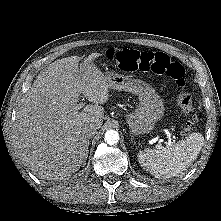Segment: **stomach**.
I'll return each instance as SVG.
<instances>
[{
	"label": "stomach",
	"instance_id": "obj_1",
	"mask_svg": "<svg viewBox=\"0 0 221 221\" xmlns=\"http://www.w3.org/2000/svg\"><path fill=\"white\" fill-rule=\"evenodd\" d=\"M107 85L110 89L126 91L137 95L139 105L126 117V121L135 135L149 133L164 114V105L160 96L146 82L114 72H106Z\"/></svg>",
	"mask_w": 221,
	"mask_h": 221
}]
</instances>
